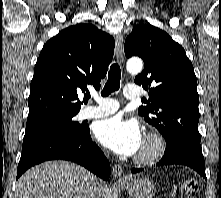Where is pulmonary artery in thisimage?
Segmentation results:
<instances>
[{"instance_id":"obj_1","label":"pulmonary artery","mask_w":221,"mask_h":198,"mask_svg":"<svg viewBox=\"0 0 221 198\" xmlns=\"http://www.w3.org/2000/svg\"><path fill=\"white\" fill-rule=\"evenodd\" d=\"M124 96L127 99H136L139 97L138 88L133 85H127L124 88ZM93 99L96 102L94 106H86L80 112L82 119L100 118L113 114L117 111L119 104L113 99L103 98L94 94Z\"/></svg>"}]
</instances>
